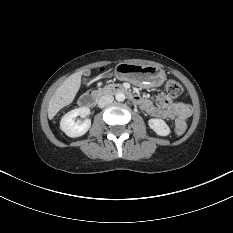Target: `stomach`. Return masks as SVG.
Returning a JSON list of instances; mask_svg holds the SVG:
<instances>
[{"instance_id":"1","label":"stomach","mask_w":233,"mask_h":233,"mask_svg":"<svg viewBox=\"0 0 233 233\" xmlns=\"http://www.w3.org/2000/svg\"><path fill=\"white\" fill-rule=\"evenodd\" d=\"M115 74L120 79L151 87L161 86L166 79L164 71L158 67L126 62L116 66Z\"/></svg>"}]
</instances>
